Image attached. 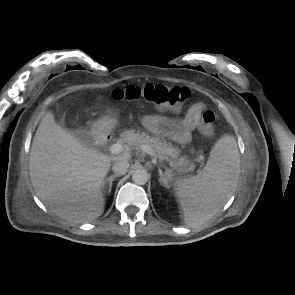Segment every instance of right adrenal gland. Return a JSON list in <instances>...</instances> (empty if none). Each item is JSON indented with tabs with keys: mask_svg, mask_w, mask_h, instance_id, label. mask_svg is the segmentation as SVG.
<instances>
[{
	"mask_svg": "<svg viewBox=\"0 0 295 295\" xmlns=\"http://www.w3.org/2000/svg\"><path fill=\"white\" fill-rule=\"evenodd\" d=\"M119 176H120L119 174H116V175H112V176L106 178L105 183L103 184V191H104V193L108 192L110 194L111 189H112V182H113V180L115 178H117ZM107 184L109 185L108 190H106Z\"/></svg>",
	"mask_w": 295,
	"mask_h": 295,
	"instance_id": "1",
	"label": "right adrenal gland"
}]
</instances>
